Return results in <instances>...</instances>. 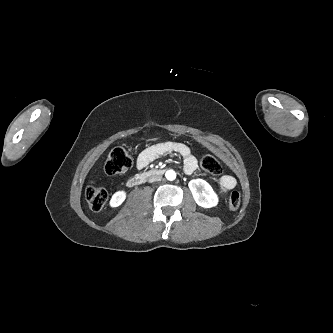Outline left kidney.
Returning <instances> with one entry per match:
<instances>
[{"label":"left kidney","instance_id":"left-kidney-1","mask_svg":"<svg viewBox=\"0 0 333 333\" xmlns=\"http://www.w3.org/2000/svg\"><path fill=\"white\" fill-rule=\"evenodd\" d=\"M195 202L204 208L218 204V197L212 187L203 179H193L188 184Z\"/></svg>","mask_w":333,"mask_h":333}]
</instances>
